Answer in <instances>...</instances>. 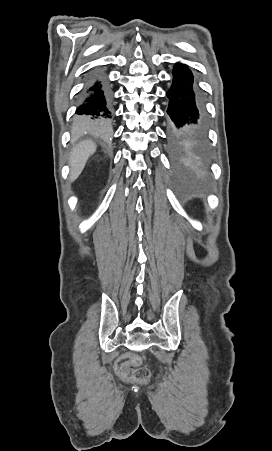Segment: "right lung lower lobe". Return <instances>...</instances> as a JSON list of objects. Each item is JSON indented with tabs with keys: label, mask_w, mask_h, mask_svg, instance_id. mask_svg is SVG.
Listing matches in <instances>:
<instances>
[{
	"label": "right lung lower lobe",
	"mask_w": 272,
	"mask_h": 451,
	"mask_svg": "<svg viewBox=\"0 0 272 451\" xmlns=\"http://www.w3.org/2000/svg\"><path fill=\"white\" fill-rule=\"evenodd\" d=\"M75 113V122L83 130L106 131L112 126L110 96L101 80L95 79L84 88Z\"/></svg>",
	"instance_id": "1"
}]
</instances>
